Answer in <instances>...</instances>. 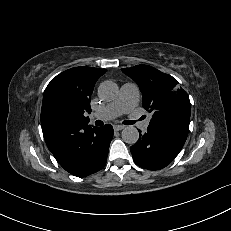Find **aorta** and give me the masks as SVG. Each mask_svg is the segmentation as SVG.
<instances>
[{
	"instance_id": "aorta-1",
	"label": "aorta",
	"mask_w": 231,
	"mask_h": 231,
	"mask_svg": "<svg viewBox=\"0 0 231 231\" xmlns=\"http://www.w3.org/2000/svg\"><path fill=\"white\" fill-rule=\"evenodd\" d=\"M118 93V86L113 81H104L98 87V96L102 100H113ZM122 140L128 144H135L139 139V132L134 126H127L122 130Z\"/></svg>"
}]
</instances>
